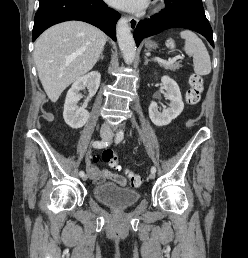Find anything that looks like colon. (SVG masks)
I'll return each instance as SVG.
<instances>
[{"mask_svg":"<svg viewBox=\"0 0 248 258\" xmlns=\"http://www.w3.org/2000/svg\"><path fill=\"white\" fill-rule=\"evenodd\" d=\"M172 46V43L170 44ZM190 87L186 92L185 100L186 103L189 105H196L201 98V94L203 91V78L200 74L194 73L190 76L189 79ZM107 149L106 147L104 148ZM102 159L108 163L113 170H118V158L116 154H114L112 151H105L102 155ZM97 160H99V155H90V158H88V161H85L86 173H97L96 164ZM126 166H131V161L125 162ZM128 175L131 179V185L134 187H138L142 183V178L139 175L134 174L132 171H128Z\"/></svg>","mask_w":248,"mask_h":258,"instance_id":"obj_1","label":"colon"}]
</instances>
